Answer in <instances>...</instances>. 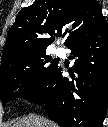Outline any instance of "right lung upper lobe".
<instances>
[{
	"instance_id": "cb5924a9",
	"label": "right lung upper lobe",
	"mask_w": 108,
	"mask_h": 127,
	"mask_svg": "<svg viewBox=\"0 0 108 127\" xmlns=\"http://www.w3.org/2000/svg\"><path fill=\"white\" fill-rule=\"evenodd\" d=\"M101 18V5L96 0H36L16 16L3 47L1 65L44 53L53 36L62 31L67 35V46Z\"/></svg>"
}]
</instances>
